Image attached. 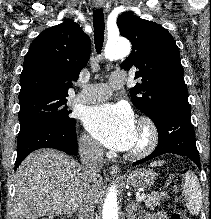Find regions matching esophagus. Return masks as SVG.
<instances>
[{"label":"esophagus","instance_id":"esophagus-1","mask_svg":"<svg viewBox=\"0 0 211 219\" xmlns=\"http://www.w3.org/2000/svg\"><path fill=\"white\" fill-rule=\"evenodd\" d=\"M102 6H103L102 4H96V5H95L96 8H101ZM110 172H111L112 174H118V173H120V168H119V166H118V165H112V166L110 167Z\"/></svg>","mask_w":211,"mask_h":219}]
</instances>
